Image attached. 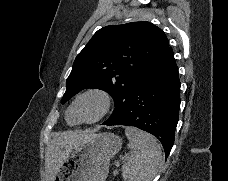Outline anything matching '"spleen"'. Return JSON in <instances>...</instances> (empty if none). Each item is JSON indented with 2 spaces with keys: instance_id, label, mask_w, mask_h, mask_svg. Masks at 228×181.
Instances as JSON below:
<instances>
[{
  "instance_id": "3e777b00",
  "label": "spleen",
  "mask_w": 228,
  "mask_h": 181,
  "mask_svg": "<svg viewBox=\"0 0 228 181\" xmlns=\"http://www.w3.org/2000/svg\"><path fill=\"white\" fill-rule=\"evenodd\" d=\"M125 135L131 155L122 165L124 181H153L162 167V151L157 139L136 127H126Z\"/></svg>"
}]
</instances>
